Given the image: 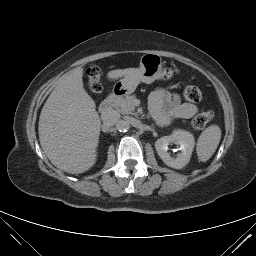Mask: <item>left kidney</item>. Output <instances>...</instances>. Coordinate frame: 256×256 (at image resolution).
I'll return each instance as SVG.
<instances>
[{"instance_id":"5707ae66","label":"left kidney","mask_w":256,"mask_h":256,"mask_svg":"<svg viewBox=\"0 0 256 256\" xmlns=\"http://www.w3.org/2000/svg\"><path fill=\"white\" fill-rule=\"evenodd\" d=\"M171 143L180 145L181 152L173 158L168 153ZM195 145L194 136L185 130H175L171 135L159 138L155 148L162 161L169 167L181 169L188 164Z\"/></svg>"}]
</instances>
